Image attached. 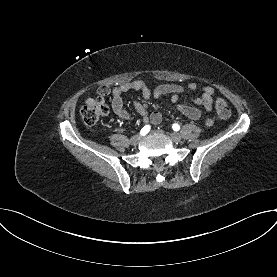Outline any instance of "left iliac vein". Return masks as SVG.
Here are the masks:
<instances>
[{
    "label": "left iliac vein",
    "mask_w": 277,
    "mask_h": 277,
    "mask_svg": "<svg viewBox=\"0 0 277 277\" xmlns=\"http://www.w3.org/2000/svg\"><path fill=\"white\" fill-rule=\"evenodd\" d=\"M170 137H171V139H172L173 141H175V142H178V141L181 140L180 134H178V133H176V132L170 133Z\"/></svg>",
    "instance_id": "obj_1"
}]
</instances>
